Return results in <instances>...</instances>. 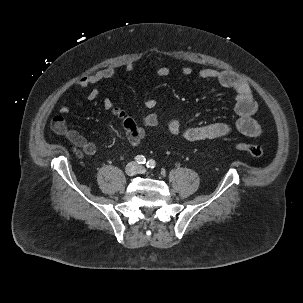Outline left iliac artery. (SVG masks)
<instances>
[{
    "label": "left iliac artery",
    "mask_w": 303,
    "mask_h": 303,
    "mask_svg": "<svg viewBox=\"0 0 303 303\" xmlns=\"http://www.w3.org/2000/svg\"><path fill=\"white\" fill-rule=\"evenodd\" d=\"M155 166H156V162L154 160L150 159L147 161V167L149 169H153V168H155Z\"/></svg>",
    "instance_id": "obj_1"
}]
</instances>
